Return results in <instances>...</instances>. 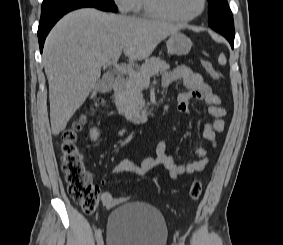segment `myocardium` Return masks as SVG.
Segmentation results:
<instances>
[{
    "mask_svg": "<svg viewBox=\"0 0 283 245\" xmlns=\"http://www.w3.org/2000/svg\"><path fill=\"white\" fill-rule=\"evenodd\" d=\"M145 4L148 11L158 18L173 22H190L198 18L204 12L207 0H201V6L198 12L189 17H176L171 15L165 8L164 0H145Z\"/></svg>",
    "mask_w": 283,
    "mask_h": 245,
    "instance_id": "obj_1",
    "label": "myocardium"
}]
</instances>
